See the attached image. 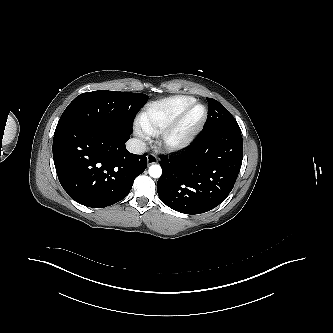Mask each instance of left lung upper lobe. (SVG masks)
<instances>
[{
    "label": "left lung upper lobe",
    "instance_id": "1",
    "mask_svg": "<svg viewBox=\"0 0 333 333\" xmlns=\"http://www.w3.org/2000/svg\"><path fill=\"white\" fill-rule=\"evenodd\" d=\"M208 116L204 129L213 130L219 128H232L240 130V127L232 114L218 101L207 98Z\"/></svg>",
    "mask_w": 333,
    "mask_h": 333
}]
</instances>
